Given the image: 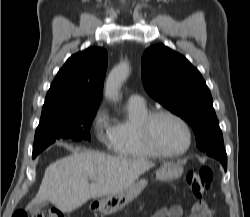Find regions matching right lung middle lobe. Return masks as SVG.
<instances>
[{"instance_id": "1", "label": "right lung middle lobe", "mask_w": 250, "mask_h": 217, "mask_svg": "<svg viewBox=\"0 0 250 217\" xmlns=\"http://www.w3.org/2000/svg\"><path fill=\"white\" fill-rule=\"evenodd\" d=\"M97 109L69 110L41 116L35 133L32 157L35 158L56 139L90 140L89 129Z\"/></svg>"}]
</instances>
